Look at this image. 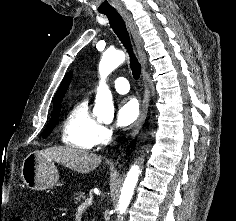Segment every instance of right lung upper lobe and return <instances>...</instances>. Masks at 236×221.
Segmentation results:
<instances>
[{
	"label": "right lung upper lobe",
	"instance_id": "1",
	"mask_svg": "<svg viewBox=\"0 0 236 221\" xmlns=\"http://www.w3.org/2000/svg\"><path fill=\"white\" fill-rule=\"evenodd\" d=\"M71 77H72V72L67 73L66 76L64 77L58 91L55 94L53 106L59 105L61 103V100L65 95V92L69 86Z\"/></svg>",
	"mask_w": 236,
	"mask_h": 221
}]
</instances>
